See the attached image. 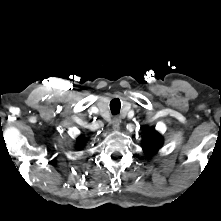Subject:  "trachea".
I'll return each instance as SVG.
<instances>
[{"instance_id": "trachea-1", "label": "trachea", "mask_w": 221, "mask_h": 221, "mask_svg": "<svg viewBox=\"0 0 221 221\" xmlns=\"http://www.w3.org/2000/svg\"><path fill=\"white\" fill-rule=\"evenodd\" d=\"M121 102L118 98L111 100L110 102V110L113 115H116L120 112Z\"/></svg>"}]
</instances>
